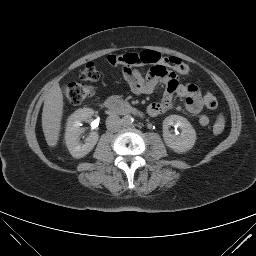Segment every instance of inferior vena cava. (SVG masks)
I'll use <instances>...</instances> for the list:
<instances>
[{
    "instance_id": "1",
    "label": "inferior vena cava",
    "mask_w": 256,
    "mask_h": 256,
    "mask_svg": "<svg viewBox=\"0 0 256 256\" xmlns=\"http://www.w3.org/2000/svg\"><path fill=\"white\" fill-rule=\"evenodd\" d=\"M122 126V119L118 115H110L106 119V127L111 132H117Z\"/></svg>"
}]
</instances>
